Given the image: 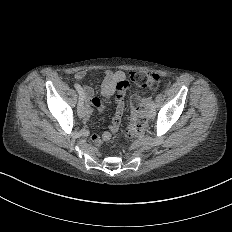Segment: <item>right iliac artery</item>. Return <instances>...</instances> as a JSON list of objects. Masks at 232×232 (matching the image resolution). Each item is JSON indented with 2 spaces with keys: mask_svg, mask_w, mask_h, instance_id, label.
<instances>
[{
  "mask_svg": "<svg viewBox=\"0 0 232 232\" xmlns=\"http://www.w3.org/2000/svg\"><path fill=\"white\" fill-rule=\"evenodd\" d=\"M75 89L78 91L80 97H79V102H78V106H81L83 103V89L81 88V86L77 83L74 84Z\"/></svg>",
  "mask_w": 232,
  "mask_h": 232,
  "instance_id": "82829eb1",
  "label": "right iliac artery"
}]
</instances>
